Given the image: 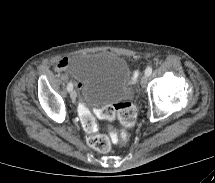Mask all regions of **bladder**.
Wrapping results in <instances>:
<instances>
[{"label": "bladder", "instance_id": "31cf9c89", "mask_svg": "<svg viewBox=\"0 0 215 183\" xmlns=\"http://www.w3.org/2000/svg\"><path fill=\"white\" fill-rule=\"evenodd\" d=\"M69 70L82 83V102L101 106L134 96L130 66L122 56L96 51L72 57Z\"/></svg>", "mask_w": 215, "mask_h": 183}]
</instances>
